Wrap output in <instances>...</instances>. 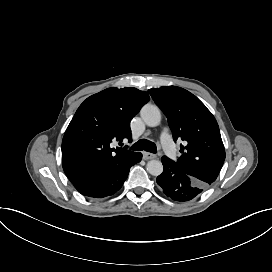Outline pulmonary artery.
I'll list each match as a JSON object with an SVG mask.
<instances>
[{
	"label": "pulmonary artery",
	"instance_id": "pulmonary-artery-1",
	"mask_svg": "<svg viewBox=\"0 0 272 272\" xmlns=\"http://www.w3.org/2000/svg\"><path fill=\"white\" fill-rule=\"evenodd\" d=\"M161 133L163 135L160 138V145L162 146V151L170 156L173 163H178L180 159L176 153L177 151L175 149V144L173 143V138L171 137V129L164 127L162 128Z\"/></svg>",
	"mask_w": 272,
	"mask_h": 272
}]
</instances>
